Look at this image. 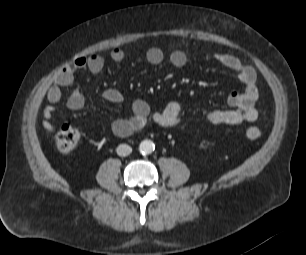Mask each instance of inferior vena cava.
I'll list each match as a JSON object with an SVG mask.
<instances>
[{
    "instance_id": "1",
    "label": "inferior vena cava",
    "mask_w": 306,
    "mask_h": 255,
    "mask_svg": "<svg viewBox=\"0 0 306 255\" xmlns=\"http://www.w3.org/2000/svg\"><path fill=\"white\" fill-rule=\"evenodd\" d=\"M116 151L119 156H128L132 152V148L127 144H120Z\"/></svg>"
}]
</instances>
